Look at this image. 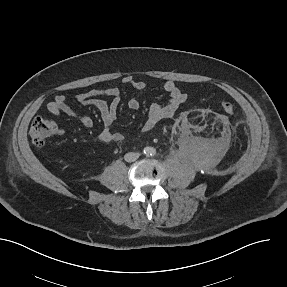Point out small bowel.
I'll list each match as a JSON object with an SVG mask.
<instances>
[{"instance_id": "c3829d8e", "label": "small bowel", "mask_w": 287, "mask_h": 287, "mask_svg": "<svg viewBox=\"0 0 287 287\" xmlns=\"http://www.w3.org/2000/svg\"><path fill=\"white\" fill-rule=\"evenodd\" d=\"M122 83L133 87L138 92L146 88L144 81L138 80L130 75L124 76ZM163 89L169 95V100L164 104L153 103L149 107L146 120L142 126L143 131H150L161 120L172 117L187 99L186 94L175 81L169 80L165 82ZM75 100L83 106H91L98 110L104 125V128L98 133V139L101 142L119 143L125 140L124 134L112 130L121 103V91L118 87L94 89L78 93L75 96ZM128 107L132 110H137L140 107L139 99L137 97L131 98L128 101ZM47 110L56 117L67 115L86 128L93 127V119L70 106L64 95L54 97V99L47 104Z\"/></svg>"}]
</instances>
